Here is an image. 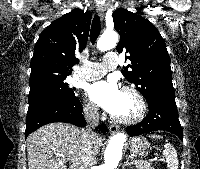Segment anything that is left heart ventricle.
Returning a JSON list of instances; mask_svg holds the SVG:
<instances>
[{
  "instance_id": "left-heart-ventricle-1",
  "label": "left heart ventricle",
  "mask_w": 200,
  "mask_h": 169,
  "mask_svg": "<svg viewBox=\"0 0 200 169\" xmlns=\"http://www.w3.org/2000/svg\"><path fill=\"white\" fill-rule=\"evenodd\" d=\"M138 104L136 99L129 93L122 92L115 116L131 117L137 113Z\"/></svg>"
}]
</instances>
